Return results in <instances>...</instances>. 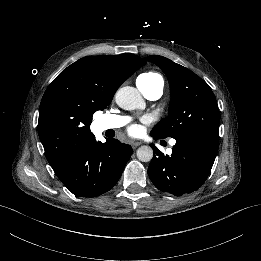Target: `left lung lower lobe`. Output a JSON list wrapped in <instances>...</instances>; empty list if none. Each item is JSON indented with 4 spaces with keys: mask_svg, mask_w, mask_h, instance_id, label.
I'll use <instances>...</instances> for the list:
<instances>
[{
    "mask_svg": "<svg viewBox=\"0 0 261 261\" xmlns=\"http://www.w3.org/2000/svg\"><path fill=\"white\" fill-rule=\"evenodd\" d=\"M152 146L156 156L148 167L151 181L163 192L182 196L206 181L217 154L219 138L201 132L187 134L176 140L170 156Z\"/></svg>",
    "mask_w": 261,
    "mask_h": 261,
    "instance_id": "0a47b994",
    "label": "left lung lower lobe"
}]
</instances>
